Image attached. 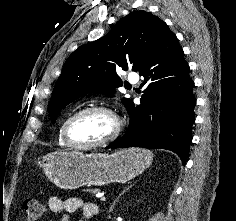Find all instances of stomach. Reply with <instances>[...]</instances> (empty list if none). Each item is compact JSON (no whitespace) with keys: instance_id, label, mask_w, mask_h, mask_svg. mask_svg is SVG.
I'll return each mask as SVG.
<instances>
[{"instance_id":"stomach-1","label":"stomach","mask_w":236,"mask_h":221,"mask_svg":"<svg viewBox=\"0 0 236 221\" xmlns=\"http://www.w3.org/2000/svg\"><path fill=\"white\" fill-rule=\"evenodd\" d=\"M153 160V154L142 148L118 150L112 154H83L77 151L54 152L42 158L48 179L61 189L125 183L142 174Z\"/></svg>"}]
</instances>
